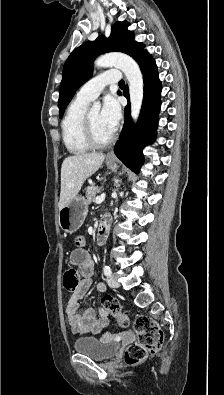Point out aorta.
<instances>
[{
	"label": "aorta",
	"instance_id": "obj_1",
	"mask_svg": "<svg viewBox=\"0 0 224 395\" xmlns=\"http://www.w3.org/2000/svg\"><path fill=\"white\" fill-rule=\"evenodd\" d=\"M94 64L99 68L116 67L125 74L129 86L131 116L133 121L136 123L140 114L144 96L143 76L138 64L133 58L124 53H110L102 55L96 59ZM100 108L101 104L99 102H94L91 110L98 112Z\"/></svg>",
	"mask_w": 224,
	"mask_h": 395
}]
</instances>
